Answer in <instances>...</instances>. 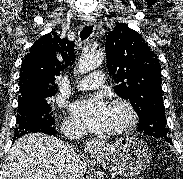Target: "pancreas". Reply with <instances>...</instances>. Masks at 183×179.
<instances>
[{
	"instance_id": "cf45deb5",
	"label": "pancreas",
	"mask_w": 183,
	"mask_h": 179,
	"mask_svg": "<svg viewBox=\"0 0 183 179\" xmlns=\"http://www.w3.org/2000/svg\"><path fill=\"white\" fill-rule=\"evenodd\" d=\"M136 179H144V177H139V178H136Z\"/></svg>"
}]
</instances>
